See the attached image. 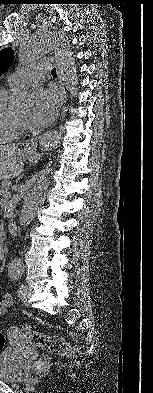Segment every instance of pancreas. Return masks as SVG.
<instances>
[{"label":"pancreas","mask_w":153,"mask_h":393,"mask_svg":"<svg viewBox=\"0 0 153 393\" xmlns=\"http://www.w3.org/2000/svg\"><path fill=\"white\" fill-rule=\"evenodd\" d=\"M11 185L12 183L10 180H2L0 183V195L5 196L7 193H9Z\"/></svg>","instance_id":"pancreas-1"}]
</instances>
